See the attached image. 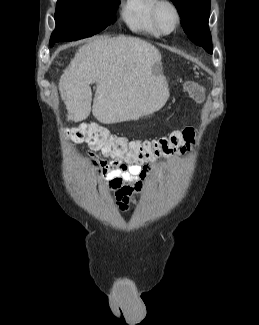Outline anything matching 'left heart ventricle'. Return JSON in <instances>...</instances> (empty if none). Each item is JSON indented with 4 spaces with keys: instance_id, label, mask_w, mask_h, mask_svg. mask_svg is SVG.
I'll return each mask as SVG.
<instances>
[{
    "instance_id": "left-heart-ventricle-1",
    "label": "left heart ventricle",
    "mask_w": 259,
    "mask_h": 325,
    "mask_svg": "<svg viewBox=\"0 0 259 325\" xmlns=\"http://www.w3.org/2000/svg\"><path fill=\"white\" fill-rule=\"evenodd\" d=\"M158 19L163 30L169 31L175 24V14L169 6H162L158 12Z\"/></svg>"
}]
</instances>
